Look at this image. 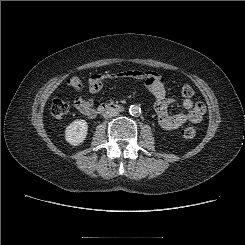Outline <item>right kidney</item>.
Masks as SVG:
<instances>
[{
	"label": "right kidney",
	"mask_w": 245,
	"mask_h": 245,
	"mask_svg": "<svg viewBox=\"0 0 245 245\" xmlns=\"http://www.w3.org/2000/svg\"><path fill=\"white\" fill-rule=\"evenodd\" d=\"M88 125L85 120H74L65 130L66 141L73 146L80 145L87 137Z\"/></svg>",
	"instance_id": "obj_1"
}]
</instances>
